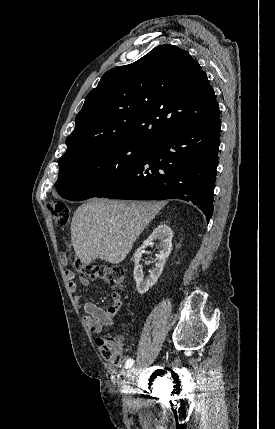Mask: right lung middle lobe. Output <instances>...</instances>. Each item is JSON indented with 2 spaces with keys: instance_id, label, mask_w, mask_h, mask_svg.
Listing matches in <instances>:
<instances>
[{
  "instance_id": "dd1d6c3e",
  "label": "right lung middle lobe",
  "mask_w": 275,
  "mask_h": 429,
  "mask_svg": "<svg viewBox=\"0 0 275 429\" xmlns=\"http://www.w3.org/2000/svg\"><path fill=\"white\" fill-rule=\"evenodd\" d=\"M147 149L148 144H116L61 164L55 184L58 193L73 201L94 197L139 166Z\"/></svg>"
}]
</instances>
